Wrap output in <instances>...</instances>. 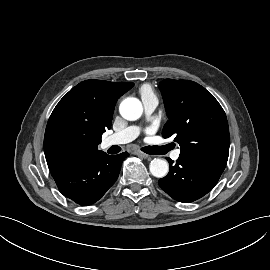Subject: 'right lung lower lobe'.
Segmentation results:
<instances>
[{
    "label": "right lung lower lobe",
    "instance_id": "right-lung-lower-lobe-1",
    "mask_svg": "<svg viewBox=\"0 0 270 270\" xmlns=\"http://www.w3.org/2000/svg\"><path fill=\"white\" fill-rule=\"evenodd\" d=\"M127 152L110 156L100 152L50 169L60 192L86 206L98 201L115 183Z\"/></svg>",
    "mask_w": 270,
    "mask_h": 270
}]
</instances>
